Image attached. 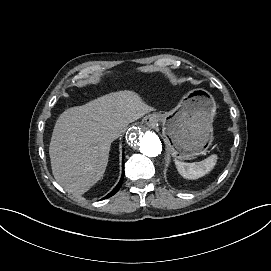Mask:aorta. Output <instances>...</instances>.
<instances>
[{
    "label": "aorta",
    "instance_id": "obj_1",
    "mask_svg": "<svg viewBox=\"0 0 271 271\" xmlns=\"http://www.w3.org/2000/svg\"><path fill=\"white\" fill-rule=\"evenodd\" d=\"M128 146L140 151L148 157H156L161 154L162 143L156 133L147 130L143 126L132 127L126 135Z\"/></svg>",
    "mask_w": 271,
    "mask_h": 271
}]
</instances>
